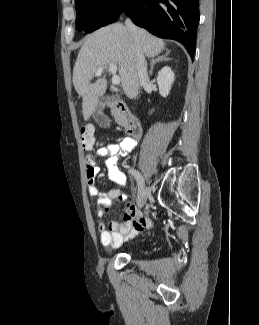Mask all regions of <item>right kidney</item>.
<instances>
[{"mask_svg": "<svg viewBox=\"0 0 259 325\" xmlns=\"http://www.w3.org/2000/svg\"><path fill=\"white\" fill-rule=\"evenodd\" d=\"M174 82V73L169 66L163 67L157 75V84L159 93L162 97H167L170 93L172 83Z\"/></svg>", "mask_w": 259, "mask_h": 325, "instance_id": "ca27d5eb", "label": "right kidney"}]
</instances>
